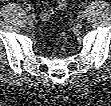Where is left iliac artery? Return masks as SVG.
I'll return each instance as SVG.
<instances>
[{
    "mask_svg": "<svg viewBox=\"0 0 111 106\" xmlns=\"http://www.w3.org/2000/svg\"><path fill=\"white\" fill-rule=\"evenodd\" d=\"M83 7L86 8V7H87V4H86V3H83Z\"/></svg>",
    "mask_w": 111,
    "mask_h": 106,
    "instance_id": "1",
    "label": "left iliac artery"
}]
</instances>
